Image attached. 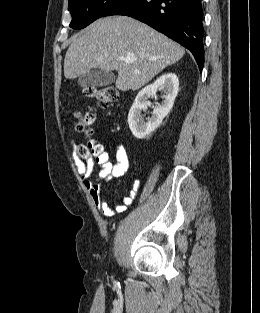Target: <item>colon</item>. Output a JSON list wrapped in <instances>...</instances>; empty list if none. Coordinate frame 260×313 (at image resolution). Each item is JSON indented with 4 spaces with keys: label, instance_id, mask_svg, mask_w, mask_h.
<instances>
[{
    "label": "colon",
    "instance_id": "1",
    "mask_svg": "<svg viewBox=\"0 0 260 313\" xmlns=\"http://www.w3.org/2000/svg\"><path fill=\"white\" fill-rule=\"evenodd\" d=\"M84 93L87 97L94 99L98 107L106 108L117 101L118 91L112 86H88L84 89ZM75 129L80 133L91 134L90 128L94 121V113L91 109L74 113ZM78 152L81 157L85 159L95 160L100 164V157L103 154L100 144L95 142H89L87 144H81L78 148Z\"/></svg>",
    "mask_w": 260,
    "mask_h": 313
}]
</instances>
